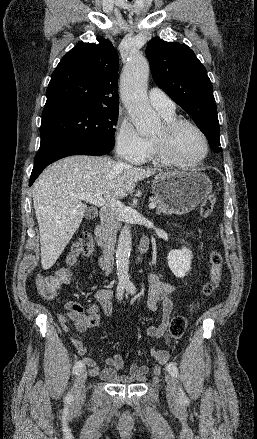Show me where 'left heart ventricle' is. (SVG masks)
I'll list each match as a JSON object with an SVG mask.
<instances>
[{
	"label": "left heart ventricle",
	"mask_w": 257,
	"mask_h": 439,
	"mask_svg": "<svg viewBox=\"0 0 257 439\" xmlns=\"http://www.w3.org/2000/svg\"><path fill=\"white\" fill-rule=\"evenodd\" d=\"M163 134L161 127L154 136ZM169 149L172 156L182 162L197 160L204 151V144L199 134L190 127H183L178 130L170 139Z\"/></svg>",
	"instance_id": "left-heart-ventricle-1"
}]
</instances>
